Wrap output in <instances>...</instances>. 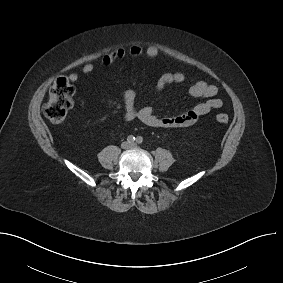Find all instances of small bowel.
Here are the masks:
<instances>
[{"label":"small bowel","instance_id":"c3829d8e","mask_svg":"<svg viewBox=\"0 0 283 283\" xmlns=\"http://www.w3.org/2000/svg\"><path fill=\"white\" fill-rule=\"evenodd\" d=\"M160 50L156 46H148L146 48L140 45H132L128 49L117 48L102 56V63L110 65L116 61L124 59L126 56L139 57L146 55L149 58H158ZM94 71L93 64H85L82 67V73L91 74ZM79 75L77 73H70L68 79L72 82L77 81ZM185 80V74L181 71L169 72L160 77L156 85V91H161L171 84H179ZM188 93L195 98H204L191 109L175 116H158L150 106L137 108L136 93L133 89L126 88L122 91V96L125 104V119L133 121L138 119L144 124L156 128H178L187 127L196 123L200 117L208 114L211 110L218 109L223 102L216 97L218 88L215 85L209 84L205 81H196L188 88Z\"/></svg>","mask_w":283,"mask_h":283}]
</instances>
